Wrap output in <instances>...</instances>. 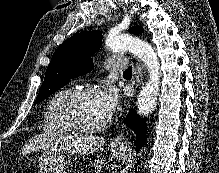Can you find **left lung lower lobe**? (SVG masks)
Listing matches in <instances>:
<instances>
[{"label": "left lung lower lobe", "mask_w": 219, "mask_h": 173, "mask_svg": "<svg viewBox=\"0 0 219 173\" xmlns=\"http://www.w3.org/2000/svg\"><path fill=\"white\" fill-rule=\"evenodd\" d=\"M125 124L130 127L136 134V151L138 152L146 142L147 126L144 119L138 117L134 109H131L126 119Z\"/></svg>", "instance_id": "1"}]
</instances>
